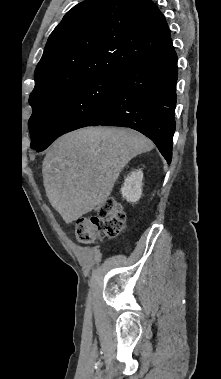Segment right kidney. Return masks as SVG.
Returning <instances> with one entry per match:
<instances>
[{"mask_svg": "<svg viewBox=\"0 0 221 379\" xmlns=\"http://www.w3.org/2000/svg\"><path fill=\"white\" fill-rule=\"evenodd\" d=\"M142 180L143 172L141 170L131 172L130 175L125 178L121 188L123 198L132 203L139 201L142 194Z\"/></svg>", "mask_w": 221, "mask_h": 379, "instance_id": "1", "label": "right kidney"}]
</instances>
